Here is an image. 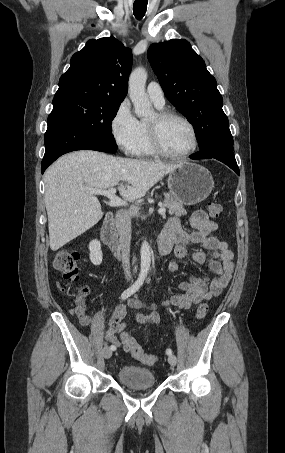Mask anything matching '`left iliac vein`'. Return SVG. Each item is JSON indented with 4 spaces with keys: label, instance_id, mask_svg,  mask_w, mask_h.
Here are the masks:
<instances>
[{
    "label": "left iliac vein",
    "instance_id": "obj_1",
    "mask_svg": "<svg viewBox=\"0 0 285 453\" xmlns=\"http://www.w3.org/2000/svg\"><path fill=\"white\" fill-rule=\"evenodd\" d=\"M168 362H169V364H170L172 367H174V366L176 365V363H177L176 356H175V355H172V354L169 355V356H168Z\"/></svg>",
    "mask_w": 285,
    "mask_h": 453
}]
</instances>
